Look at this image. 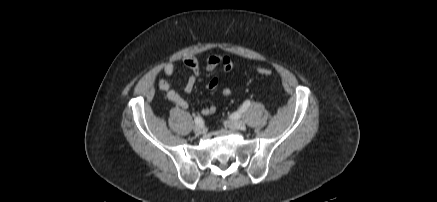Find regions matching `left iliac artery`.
Wrapping results in <instances>:
<instances>
[{
  "label": "left iliac artery",
  "instance_id": "1",
  "mask_svg": "<svg viewBox=\"0 0 437 202\" xmlns=\"http://www.w3.org/2000/svg\"><path fill=\"white\" fill-rule=\"evenodd\" d=\"M249 106H250V101H249V100H246V101L243 103V105L241 106V108L239 109V111H238V112H235V113H233V114L231 115V118H232V119H236V118L240 117V115H241L243 112H245Z\"/></svg>",
  "mask_w": 437,
  "mask_h": 202
}]
</instances>
